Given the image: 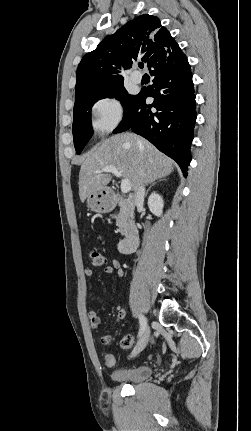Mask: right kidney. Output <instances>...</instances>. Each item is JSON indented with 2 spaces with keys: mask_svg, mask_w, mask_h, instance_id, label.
Returning a JSON list of instances; mask_svg holds the SVG:
<instances>
[{
  "mask_svg": "<svg viewBox=\"0 0 251 431\" xmlns=\"http://www.w3.org/2000/svg\"><path fill=\"white\" fill-rule=\"evenodd\" d=\"M163 206L164 203L162 197L158 193L153 192L148 199V207L150 211L154 215L160 217L163 213Z\"/></svg>",
  "mask_w": 251,
  "mask_h": 431,
  "instance_id": "obj_1",
  "label": "right kidney"
}]
</instances>
